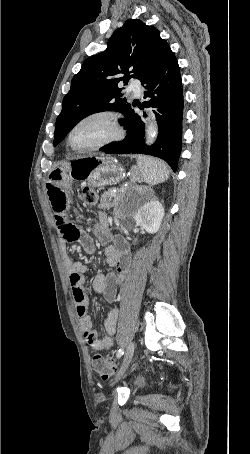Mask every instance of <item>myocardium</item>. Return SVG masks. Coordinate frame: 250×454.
I'll return each instance as SVG.
<instances>
[{
	"label": "myocardium",
	"mask_w": 250,
	"mask_h": 454,
	"mask_svg": "<svg viewBox=\"0 0 250 454\" xmlns=\"http://www.w3.org/2000/svg\"><path fill=\"white\" fill-rule=\"evenodd\" d=\"M96 119H104L107 121V123L110 126V134L105 137L104 139L90 145L87 147L83 148H77L73 146L72 144V136L74 132L83 124L88 123L90 121L96 120ZM123 136V129L120 125L118 116L116 113L109 111V110H98L91 112L89 114H86L85 116L81 117L78 121H76L73 126L70 128L68 134H67V145L68 147L74 151L75 153H90L93 151L100 150L106 146L111 145L112 143L120 140Z\"/></svg>",
	"instance_id": "myocardium-1"
}]
</instances>
